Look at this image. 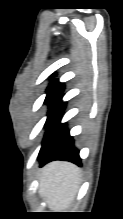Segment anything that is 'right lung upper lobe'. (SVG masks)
Segmentation results:
<instances>
[{
    "label": "right lung upper lobe",
    "mask_w": 123,
    "mask_h": 219,
    "mask_svg": "<svg viewBox=\"0 0 123 219\" xmlns=\"http://www.w3.org/2000/svg\"><path fill=\"white\" fill-rule=\"evenodd\" d=\"M57 82H58L57 80L52 81V83H57Z\"/></svg>",
    "instance_id": "right-lung-upper-lobe-1"
}]
</instances>
